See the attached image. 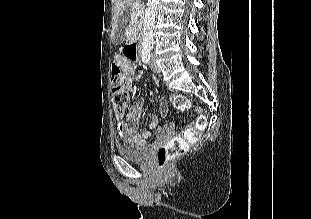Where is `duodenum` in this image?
Segmentation results:
<instances>
[{
  "label": "duodenum",
  "instance_id": "410a0bca",
  "mask_svg": "<svg viewBox=\"0 0 311 219\" xmlns=\"http://www.w3.org/2000/svg\"><path fill=\"white\" fill-rule=\"evenodd\" d=\"M137 34L138 33L136 31L131 32L128 48L135 49L136 51H140L141 44H140V40Z\"/></svg>",
  "mask_w": 311,
  "mask_h": 219
}]
</instances>
